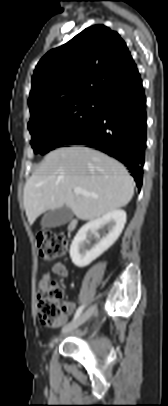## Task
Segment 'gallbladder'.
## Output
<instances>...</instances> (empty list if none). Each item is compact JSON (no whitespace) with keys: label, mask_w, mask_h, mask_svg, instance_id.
Returning a JSON list of instances; mask_svg holds the SVG:
<instances>
[{"label":"gallbladder","mask_w":168,"mask_h":406,"mask_svg":"<svg viewBox=\"0 0 168 406\" xmlns=\"http://www.w3.org/2000/svg\"><path fill=\"white\" fill-rule=\"evenodd\" d=\"M73 217L72 210L66 205L50 210L44 214L41 220V226L44 228L58 227L68 223Z\"/></svg>","instance_id":"1"}]
</instances>
